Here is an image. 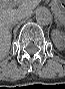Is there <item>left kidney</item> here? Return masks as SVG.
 I'll use <instances>...</instances> for the list:
<instances>
[{"mask_svg":"<svg viewBox=\"0 0 65 89\" xmlns=\"http://www.w3.org/2000/svg\"><path fill=\"white\" fill-rule=\"evenodd\" d=\"M53 42L57 49L62 50L64 48V35L60 32H57L53 37Z\"/></svg>","mask_w":65,"mask_h":89,"instance_id":"obj_1","label":"left kidney"}]
</instances>
